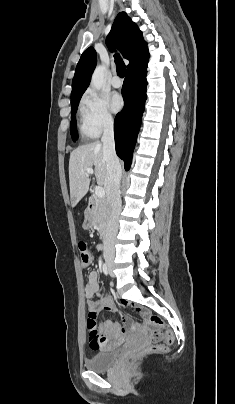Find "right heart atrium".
Returning a JSON list of instances; mask_svg holds the SVG:
<instances>
[{"label":"right heart atrium","instance_id":"1","mask_svg":"<svg viewBox=\"0 0 235 404\" xmlns=\"http://www.w3.org/2000/svg\"><path fill=\"white\" fill-rule=\"evenodd\" d=\"M81 111L95 135H99L114 125V116L106 99L93 90L86 91L82 96Z\"/></svg>","mask_w":235,"mask_h":404}]
</instances>
